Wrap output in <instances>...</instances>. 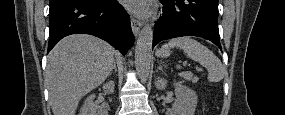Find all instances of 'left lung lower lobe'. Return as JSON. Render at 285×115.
I'll use <instances>...</instances> for the list:
<instances>
[{
    "mask_svg": "<svg viewBox=\"0 0 285 115\" xmlns=\"http://www.w3.org/2000/svg\"><path fill=\"white\" fill-rule=\"evenodd\" d=\"M165 10L153 33V47L160 41L198 36L221 48L218 29V0H160Z\"/></svg>",
    "mask_w": 285,
    "mask_h": 115,
    "instance_id": "1",
    "label": "left lung lower lobe"
}]
</instances>
